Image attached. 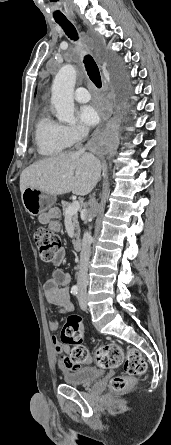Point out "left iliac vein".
Returning <instances> with one entry per match:
<instances>
[{
    "label": "left iliac vein",
    "instance_id": "1",
    "mask_svg": "<svg viewBox=\"0 0 171 445\" xmlns=\"http://www.w3.org/2000/svg\"><path fill=\"white\" fill-rule=\"evenodd\" d=\"M78 300H79V305H80L81 309L85 311L87 309L86 296L83 293L79 292Z\"/></svg>",
    "mask_w": 171,
    "mask_h": 445
}]
</instances>
